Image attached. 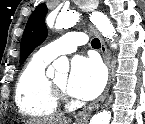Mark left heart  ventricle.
I'll list each match as a JSON object with an SVG mask.
<instances>
[{"label":"left heart ventricle","instance_id":"b2bd125f","mask_svg":"<svg viewBox=\"0 0 145 124\" xmlns=\"http://www.w3.org/2000/svg\"><path fill=\"white\" fill-rule=\"evenodd\" d=\"M52 80H53L60 88L66 90L67 82H68V75H67V73L59 74V75L55 76Z\"/></svg>","mask_w":145,"mask_h":124}]
</instances>
